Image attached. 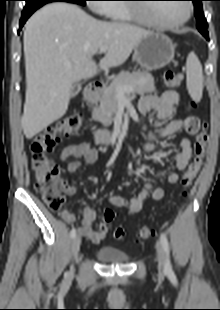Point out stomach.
<instances>
[{"label":"stomach","instance_id":"0dacf381","mask_svg":"<svg viewBox=\"0 0 220 310\" xmlns=\"http://www.w3.org/2000/svg\"><path fill=\"white\" fill-rule=\"evenodd\" d=\"M175 45L162 33H152L143 37L134 47V60L147 70H157L167 66L174 58Z\"/></svg>","mask_w":220,"mask_h":310}]
</instances>
